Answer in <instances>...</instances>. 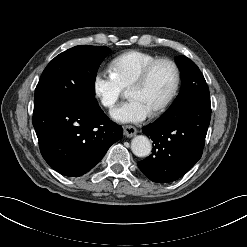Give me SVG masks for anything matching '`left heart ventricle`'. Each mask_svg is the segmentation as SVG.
Masks as SVG:
<instances>
[{"label":"left heart ventricle","instance_id":"obj_1","mask_svg":"<svg viewBox=\"0 0 247 247\" xmlns=\"http://www.w3.org/2000/svg\"><path fill=\"white\" fill-rule=\"evenodd\" d=\"M173 81V69L168 64H160L153 70L147 82L128 91V96L139 100L152 110L167 96Z\"/></svg>","mask_w":247,"mask_h":247}]
</instances>
